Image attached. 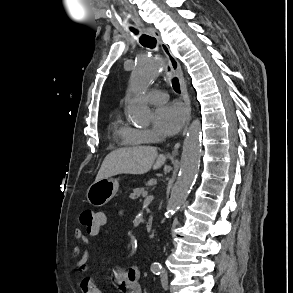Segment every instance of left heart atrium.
Wrapping results in <instances>:
<instances>
[{
  "label": "left heart atrium",
  "instance_id": "39dd6f15",
  "mask_svg": "<svg viewBox=\"0 0 293 293\" xmlns=\"http://www.w3.org/2000/svg\"><path fill=\"white\" fill-rule=\"evenodd\" d=\"M185 118V108L177 102H172L155 110L154 125L161 135L171 136L178 132Z\"/></svg>",
  "mask_w": 293,
  "mask_h": 293
}]
</instances>
